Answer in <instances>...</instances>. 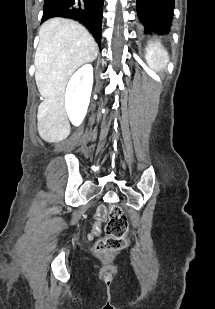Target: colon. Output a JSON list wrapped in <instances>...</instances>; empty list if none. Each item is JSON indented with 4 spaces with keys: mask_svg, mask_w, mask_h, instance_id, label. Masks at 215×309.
Wrapping results in <instances>:
<instances>
[{
    "mask_svg": "<svg viewBox=\"0 0 215 309\" xmlns=\"http://www.w3.org/2000/svg\"><path fill=\"white\" fill-rule=\"evenodd\" d=\"M127 229V219L117 206L112 207L109 212V219L105 225L107 237L99 240L94 246L97 255L104 256L110 252L118 251L125 247V232Z\"/></svg>",
    "mask_w": 215,
    "mask_h": 309,
    "instance_id": "colon-1",
    "label": "colon"
}]
</instances>
